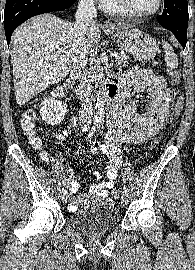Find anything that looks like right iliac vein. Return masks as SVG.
Here are the masks:
<instances>
[{
  "instance_id": "obj_1",
  "label": "right iliac vein",
  "mask_w": 195,
  "mask_h": 270,
  "mask_svg": "<svg viewBox=\"0 0 195 270\" xmlns=\"http://www.w3.org/2000/svg\"><path fill=\"white\" fill-rule=\"evenodd\" d=\"M66 194H67L66 189H62V191H61V198H62V200H65Z\"/></svg>"
}]
</instances>
